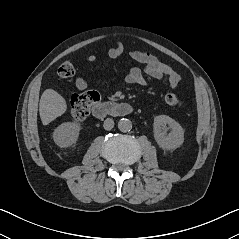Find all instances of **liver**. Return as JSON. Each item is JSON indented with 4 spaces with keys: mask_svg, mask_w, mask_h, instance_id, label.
Returning a JSON list of instances; mask_svg holds the SVG:
<instances>
[{
    "mask_svg": "<svg viewBox=\"0 0 239 239\" xmlns=\"http://www.w3.org/2000/svg\"><path fill=\"white\" fill-rule=\"evenodd\" d=\"M66 109V101L57 91L46 89L43 92L39 103V113L43 125H48L63 115Z\"/></svg>",
    "mask_w": 239,
    "mask_h": 239,
    "instance_id": "obj_1",
    "label": "liver"
}]
</instances>
